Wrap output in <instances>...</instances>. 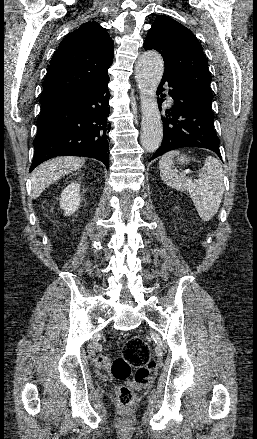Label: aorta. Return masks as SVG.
I'll return each instance as SVG.
<instances>
[{
    "mask_svg": "<svg viewBox=\"0 0 257 439\" xmlns=\"http://www.w3.org/2000/svg\"><path fill=\"white\" fill-rule=\"evenodd\" d=\"M164 72L162 56L154 50L145 51L135 67V79L141 99V144L148 152L156 151L162 141L163 126L157 105L156 91Z\"/></svg>",
    "mask_w": 257,
    "mask_h": 439,
    "instance_id": "1",
    "label": "aorta"
}]
</instances>
